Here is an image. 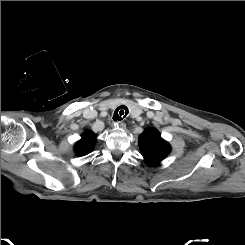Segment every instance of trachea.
<instances>
[{
    "label": "trachea",
    "mask_w": 245,
    "mask_h": 245,
    "mask_svg": "<svg viewBox=\"0 0 245 245\" xmlns=\"http://www.w3.org/2000/svg\"><path fill=\"white\" fill-rule=\"evenodd\" d=\"M129 113L128 108L125 105L119 106L113 115V120L114 121H121L123 120Z\"/></svg>",
    "instance_id": "1"
}]
</instances>
